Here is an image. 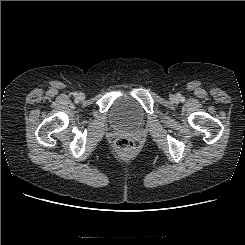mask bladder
I'll return each mask as SVG.
<instances>
[{
    "label": "bladder",
    "mask_w": 245,
    "mask_h": 245,
    "mask_svg": "<svg viewBox=\"0 0 245 245\" xmlns=\"http://www.w3.org/2000/svg\"><path fill=\"white\" fill-rule=\"evenodd\" d=\"M111 118L120 126L134 128L142 123L143 112L133 100L121 99L113 105Z\"/></svg>",
    "instance_id": "bladder-1"
}]
</instances>
